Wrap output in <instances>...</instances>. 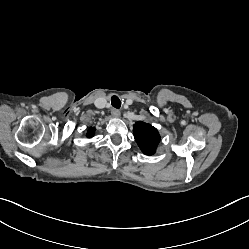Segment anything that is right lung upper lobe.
Here are the masks:
<instances>
[{"instance_id":"right-lung-upper-lobe-1","label":"right lung upper lobe","mask_w":249,"mask_h":249,"mask_svg":"<svg viewBox=\"0 0 249 249\" xmlns=\"http://www.w3.org/2000/svg\"><path fill=\"white\" fill-rule=\"evenodd\" d=\"M93 134H94V129H93V128H91V129L88 131L87 136H88V137H92V136H93Z\"/></svg>"}]
</instances>
